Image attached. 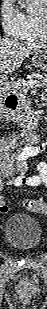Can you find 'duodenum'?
<instances>
[{
  "label": "duodenum",
  "mask_w": 47,
  "mask_h": 309,
  "mask_svg": "<svg viewBox=\"0 0 47 309\" xmlns=\"http://www.w3.org/2000/svg\"><path fill=\"white\" fill-rule=\"evenodd\" d=\"M17 108V103L14 101H5L3 107H2V111H1V115L2 118L7 122V123H12V115L14 113V111ZM37 138V135L35 133L29 132L26 134V140L28 142H33L35 141Z\"/></svg>",
  "instance_id": "410a0bca"
}]
</instances>
